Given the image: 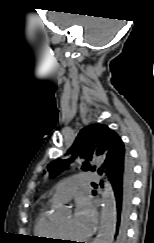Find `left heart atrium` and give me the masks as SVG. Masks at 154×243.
Listing matches in <instances>:
<instances>
[{
	"label": "left heart atrium",
	"instance_id": "left-heart-atrium-1",
	"mask_svg": "<svg viewBox=\"0 0 154 243\" xmlns=\"http://www.w3.org/2000/svg\"><path fill=\"white\" fill-rule=\"evenodd\" d=\"M72 222L83 236L89 235L96 225V214L93 207L86 201L80 202L75 210Z\"/></svg>",
	"mask_w": 154,
	"mask_h": 243
}]
</instances>
